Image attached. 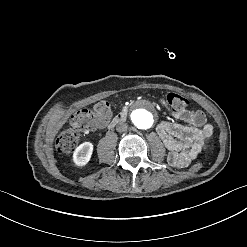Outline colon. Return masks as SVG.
<instances>
[{"label": "colon", "instance_id": "1", "mask_svg": "<svg viewBox=\"0 0 247 247\" xmlns=\"http://www.w3.org/2000/svg\"><path fill=\"white\" fill-rule=\"evenodd\" d=\"M165 98L172 106H174L175 110H184L189 106V101L187 99L175 95L172 91L167 92ZM108 111H110L109 103L107 101H101L89 110L82 109L74 113L71 117V123L74 127L65 130L59 134L56 139L55 148L57 152L63 154L71 153L78 143L80 130L84 128H93L99 124L105 123ZM197 112L201 111H195L191 115ZM202 168V161H197L191 166L192 171H199Z\"/></svg>", "mask_w": 247, "mask_h": 247}]
</instances>
